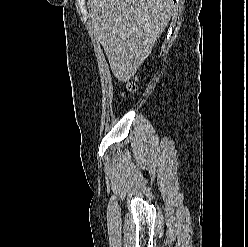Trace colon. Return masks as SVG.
I'll use <instances>...</instances> for the list:
<instances>
[{
    "label": "colon",
    "mask_w": 248,
    "mask_h": 247,
    "mask_svg": "<svg viewBox=\"0 0 248 247\" xmlns=\"http://www.w3.org/2000/svg\"><path fill=\"white\" fill-rule=\"evenodd\" d=\"M136 89V83L134 81L129 82L127 85V90L128 91H134Z\"/></svg>",
    "instance_id": "5ec220e1"
}]
</instances>
